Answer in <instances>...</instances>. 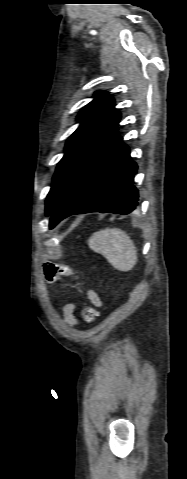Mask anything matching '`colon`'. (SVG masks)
<instances>
[{
    "label": "colon",
    "instance_id": "obj_1",
    "mask_svg": "<svg viewBox=\"0 0 187 479\" xmlns=\"http://www.w3.org/2000/svg\"><path fill=\"white\" fill-rule=\"evenodd\" d=\"M44 274L48 282H54L62 276L70 273V268L58 263H46L43 266ZM83 320L87 324H91L97 317L96 309L91 305H85L82 311Z\"/></svg>",
    "mask_w": 187,
    "mask_h": 479
}]
</instances>
